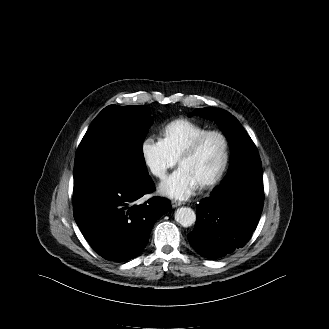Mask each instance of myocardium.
Here are the masks:
<instances>
[{
    "label": "myocardium",
    "mask_w": 329,
    "mask_h": 329,
    "mask_svg": "<svg viewBox=\"0 0 329 329\" xmlns=\"http://www.w3.org/2000/svg\"><path fill=\"white\" fill-rule=\"evenodd\" d=\"M209 136H218L222 140L224 153L218 170L211 177L199 183L201 187H208L216 184L224 176L228 168L230 161V142L226 134L220 130H207L195 137L178 157V165H180L184 159L193 156L197 152L201 143Z\"/></svg>",
    "instance_id": "obj_1"
}]
</instances>
